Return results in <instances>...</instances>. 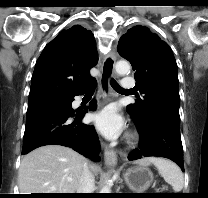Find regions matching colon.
<instances>
[{
  "label": "colon",
  "instance_id": "1",
  "mask_svg": "<svg viewBox=\"0 0 208 198\" xmlns=\"http://www.w3.org/2000/svg\"><path fill=\"white\" fill-rule=\"evenodd\" d=\"M159 190H160V191H166L167 188H166V187H161V188H159Z\"/></svg>",
  "mask_w": 208,
  "mask_h": 198
}]
</instances>
